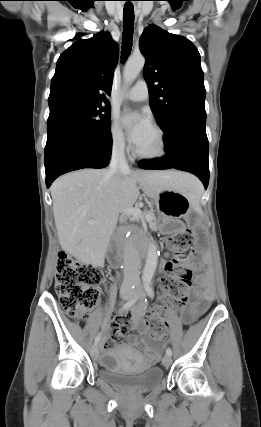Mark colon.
Here are the masks:
<instances>
[{
  "label": "colon",
  "instance_id": "1",
  "mask_svg": "<svg viewBox=\"0 0 261 427\" xmlns=\"http://www.w3.org/2000/svg\"><path fill=\"white\" fill-rule=\"evenodd\" d=\"M190 230L176 232L166 241L174 254L184 252L191 244ZM192 273L172 261L163 280L168 304L155 309L145 322L149 335L160 337L169 325V309L182 312L186 304ZM104 275L100 267L79 261L75 256L61 252L58 257L55 291L66 314L74 319H84L96 304Z\"/></svg>",
  "mask_w": 261,
  "mask_h": 427
}]
</instances>
